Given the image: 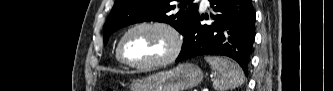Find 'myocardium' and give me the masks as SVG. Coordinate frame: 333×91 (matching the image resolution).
I'll list each match as a JSON object with an SVG mask.
<instances>
[{"label":"myocardium","instance_id":"f54148a6","mask_svg":"<svg viewBox=\"0 0 333 91\" xmlns=\"http://www.w3.org/2000/svg\"><path fill=\"white\" fill-rule=\"evenodd\" d=\"M141 28H156L166 32L172 40V47L169 54L162 59L147 63H134L129 61L125 55L126 40L131 33ZM182 46H183L182 35L174 25L164 21H146L131 26L123 34L118 44L117 53L121 62L126 66L134 69L144 70V69L158 68L170 64L179 56Z\"/></svg>","mask_w":333,"mask_h":91}]
</instances>
